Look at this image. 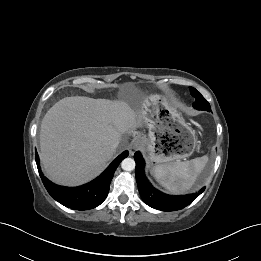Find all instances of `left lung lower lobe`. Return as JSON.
<instances>
[{"label": "left lung lower lobe", "mask_w": 261, "mask_h": 261, "mask_svg": "<svg viewBox=\"0 0 261 261\" xmlns=\"http://www.w3.org/2000/svg\"><path fill=\"white\" fill-rule=\"evenodd\" d=\"M134 159L136 162L135 175L139 193L143 201L152 208L162 211L180 210L187 205L191 204L205 189L202 188L198 193L171 196L164 194L155 189L144 174V159L139 151L135 152Z\"/></svg>", "instance_id": "obj_1"}]
</instances>
